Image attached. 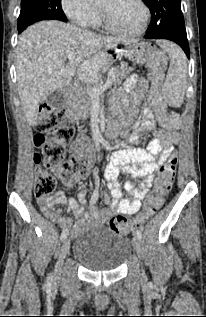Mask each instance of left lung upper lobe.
Listing matches in <instances>:
<instances>
[{
    "label": "left lung upper lobe",
    "instance_id": "5c2ea615",
    "mask_svg": "<svg viewBox=\"0 0 206 317\" xmlns=\"http://www.w3.org/2000/svg\"><path fill=\"white\" fill-rule=\"evenodd\" d=\"M150 9L152 20L146 35L165 32L186 33L180 0H142Z\"/></svg>",
    "mask_w": 206,
    "mask_h": 317
}]
</instances>
